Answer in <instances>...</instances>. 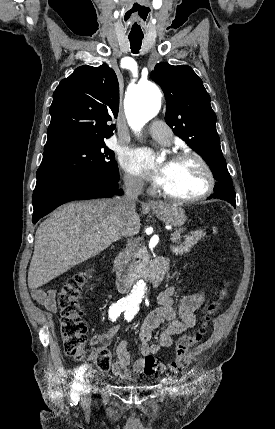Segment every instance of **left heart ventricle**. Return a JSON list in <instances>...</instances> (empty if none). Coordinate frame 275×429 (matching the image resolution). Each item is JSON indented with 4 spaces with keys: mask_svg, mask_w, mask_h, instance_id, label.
<instances>
[{
    "mask_svg": "<svg viewBox=\"0 0 275 429\" xmlns=\"http://www.w3.org/2000/svg\"><path fill=\"white\" fill-rule=\"evenodd\" d=\"M160 168L164 174L162 188L170 194L190 197L200 194L206 187V175L195 160L167 161Z\"/></svg>",
    "mask_w": 275,
    "mask_h": 429,
    "instance_id": "obj_1",
    "label": "left heart ventricle"
}]
</instances>
